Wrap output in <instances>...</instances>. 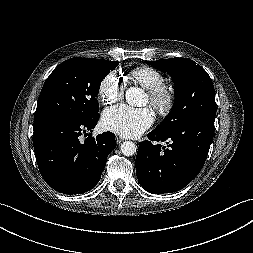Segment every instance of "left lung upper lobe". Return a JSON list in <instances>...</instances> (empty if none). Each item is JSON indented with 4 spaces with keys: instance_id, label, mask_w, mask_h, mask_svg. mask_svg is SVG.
<instances>
[{
    "instance_id": "left-lung-upper-lobe-1",
    "label": "left lung upper lobe",
    "mask_w": 253,
    "mask_h": 253,
    "mask_svg": "<svg viewBox=\"0 0 253 253\" xmlns=\"http://www.w3.org/2000/svg\"><path fill=\"white\" fill-rule=\"evenodd\" d=\"M147 64L169 73L175 84L174 106L156 130L170 132L198 117L215 119L214 86L208 73L199 64L188 58L148 61Z\"/></svg>"
}]
</instances>
